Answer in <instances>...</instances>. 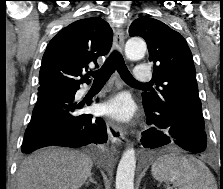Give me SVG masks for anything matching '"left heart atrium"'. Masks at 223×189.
<instances>
[{
    "instance_id": "1",
    "label": "left heart atrium",
    "mask_w": 223,
    "mask_h": 189,
    "mask_svg": "<svg viewBox=\"0 0 223 189\" xmlns=\"http://www.w3.org/2000/svg\"><path fill=\"white\" fill-rule=\"evenodd\" d=\"M105 113L110 114H125L129 113V108L126 102L120 100H114L103 107Z\"/></svg>"
}]
</instances>
